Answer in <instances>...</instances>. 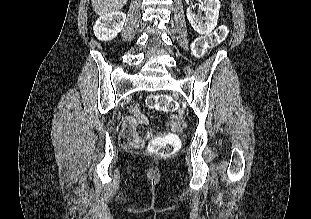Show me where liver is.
<instances>
[{
	"label": "liver",
	"instance_id": "1",
	"mask_svg": "<svg viewBox=\"0 0 311 219\" xmlns=\"http://www.w3.org/2000/svg\"><path fill=\"white\" fill-rule=\"evenodd\" d=\"M128 0H91L96 14L103 16L117 12L124 7Z\"/></svg>",
	"mask_w": 311,
	"mask_h": 219
}]
</instances>
